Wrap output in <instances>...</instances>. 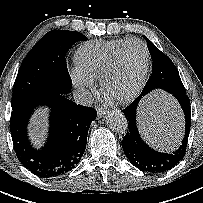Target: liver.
Returning <instances> with one entry per match:
<instances>
[{"label": "liver", "instance_id": "1", "mask_svg": "<svg viewBox=\"0 0 203 203\" xmlns=\"http://www.w3.org/2000/svg\"><path fill=\"white\" fill-rule=\"evenodd\" d=\"M154 105V103L152 104ZM147 113L144 108L140 111V124L146 139L155 147L169 149L175 145L182 136V116L177 111L174 102L164 103V106L155 108L148 107ZM45 123L43 115L36 117L31 125V138L39 144L44 137Z\"/></svg>", "mask_w": 203, "mask_h": 203}]
</instances>
